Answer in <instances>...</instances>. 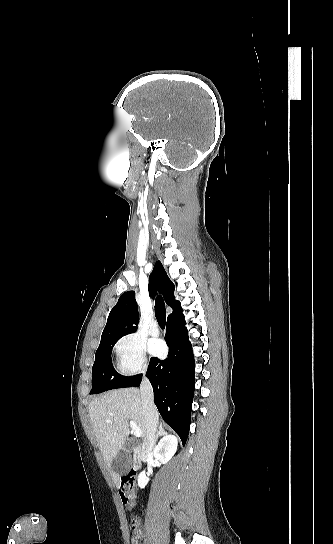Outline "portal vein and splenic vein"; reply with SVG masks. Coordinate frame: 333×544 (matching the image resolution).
Wrapping results in <instances>:
<instances>
[{
	"instance_id": "18ae733b",
	"label": "portal vein and splenic vein",
	"mask_w": 333,
	"mask_h": 544,
	"mask_svg": "<svg viewBox=\"0 0 333 544\" xmlns=\"http://www.w3.org/2000/svg\"><path fill=\"white\" fill-rule=\"evenodd\" d=\"M130 427H131L135 437H141L142 436V430L137 426V424L133 420L130 421Z\"/></svg>"
}]
</instances>
